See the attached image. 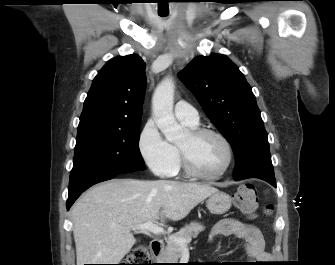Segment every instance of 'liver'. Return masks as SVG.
<instances>
[{
  "instance_id": "liver-1",
  "label": "liver",
  "mask_w": 335,
  "mask_h": 265,
  "mask_svg": "<svg viewBox=\"0 0 335 265\" xmlns=\"http://www.w3.org/2000/svg\"><path fill=\"white\" fill-rule=\"evenodd\" d=\"M217 191L169 180L113 179L96 185L71 208L77 265L118 264L136 242L130 227L182 220Z\"/></svg>"
}]
</instances>
